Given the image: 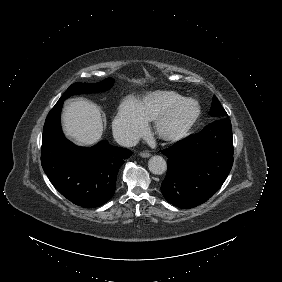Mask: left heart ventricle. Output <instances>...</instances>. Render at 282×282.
Here are the masks:
<instances>
[{
	"label": "left heart ventricle",
	"mask_w": 282,
	"mask_h": 282,
	"mask_svg": "<svg viewBox=\"0 0 282 282\" xmlns=\"http://www.w3.org/2000/svg\"><path fill=\"white\" fill-rule=\"evenodd\" d=\"M198 111L197 105L194 102H188L177 110L169 119L167 129L172 130L196 115Z\"/></svg>",
	"instance_id": "1"
}]
</instances>
